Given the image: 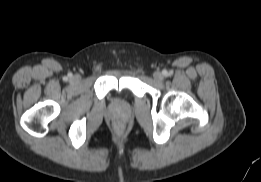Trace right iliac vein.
<instances>
[{"instance_id":"right-iliac-vein-1","label":"right iliac vein","mask_w":261,"mask_h":182,"mask_svg":"<svg viewBox=\"0 0 261 182\" xmlns=\"http://www.w3.org/2000/svg\"><path fill=\"white\" fill-rule=\"evenodd\" d=\"M74 80H79V77H78V76H75V77H74Z\"/></svg>"}]
</instances>
